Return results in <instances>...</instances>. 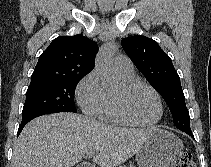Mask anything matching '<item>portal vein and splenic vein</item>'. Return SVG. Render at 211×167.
<instances>
[{"label": "portal vein and splenic vein", "mask_w": 211, "mask_h": 167, "mask_svg": "<svg viewBox=\"0 0 211 167\" xmlns=\"http://www.w3.org/2000/svg\"><path fill=\"white\" fill-rule=\"evenodd\" d=\"M93 155H94V153H92V152H87V153H85L84 157H85L86 159H90V158L93 157Z\"/></svg>", "instance_id": "1"}]
</instances>
